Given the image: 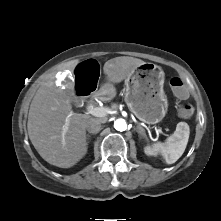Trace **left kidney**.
Listing matches in <instances>:
<instances>
[{"mask_svg": "<svg viewBox=\"0 0 221 221\" xmlns=\"http://www.w3.org/2000/svg\"><path fill=\"white\" fill-rule=\"evenodd\" d=\"M144 152H145V154L148 155V156L156 155V150H155L154 148L150 147V146H146V147L144 148Z\"/></svg>", "mask_w": 221, "mask_h": 221, "instance_id": "5707ae66", "label": "left kidney"}]
</instances>
